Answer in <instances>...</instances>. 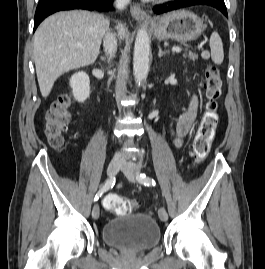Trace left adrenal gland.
I'll return each instance as SVG.
<instances>
[{
  "label": "left adrenal gland",
  "instance_id": "left-adrenal-gland-1",
  "mask_svg": "<svg viewBox=\"0 0 265 269\" xmlns=\"http://www.w3.org/2000/svg\"><path fill=\"white\" fill-rule=\"evenodd\" d=\"M159 53H158V57L161 58L163 55H165L166 53H169L168 51H162L161 47L159 46Z\"/></svg>",
  "mask_w": 265,
  "mask_h": 269
}]
</instances>
